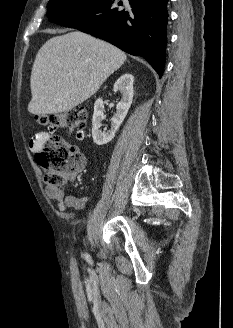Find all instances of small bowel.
I'll use <instances>...</instances> for the list:
<instances>
[{
    "label": "small bowel",
    "instance_id": "obj_1",
    "mask_svg": "<svg viewBox=\"0 0 233 328\" xmlns=\"http://www.w3.org/2000/svg\"><path fill=\"white\" fill-rule=\"evenodd\" d=\"M50 137L47 132L36 134L30 141L29 146L32 151H37L43 143ZM47 195L51 200L57 202L60 211H65L67 208L80 209L84 205V201L74 196H66L63 189L58 187H48Z\"/></svg>",
    "mask_w": 233,
    "mask_h": 328
}]
</instances>
